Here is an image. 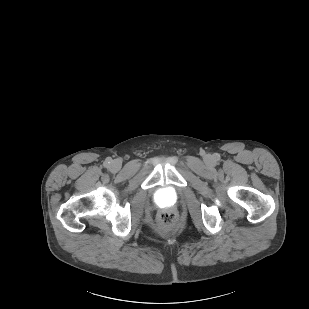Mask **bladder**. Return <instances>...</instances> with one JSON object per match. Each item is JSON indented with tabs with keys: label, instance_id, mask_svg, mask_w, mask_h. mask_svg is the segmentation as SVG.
Wrapping results in <instances>:
<instances>
[{
	"label": "bladder",
	"instance_id": "31cf9c89",
	"mask_svg": "<svg viewBox=\"0 0 309 309\" xmlns=\"http://www.w3.org/2000/svg\"><path fill=\"white\" fill-rule=\"evenodd\" d=\"M169 193H167V192H162V193H160V195H159V201L160 202H165L167 199H169Z\"/></svg>",
	"mask_w": 309,
	"mask_h": 309
}]
</instances>
